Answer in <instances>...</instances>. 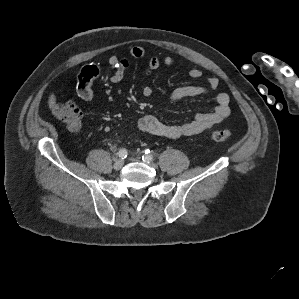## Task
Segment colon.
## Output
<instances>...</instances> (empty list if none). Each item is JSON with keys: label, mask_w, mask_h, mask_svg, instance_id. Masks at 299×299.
Returning <instances> with one entry per match:
<instances>
[{"label": "colon", "mask_w": 299, "mask_h": 299, "mask_svg": "<svg viewBox=\"0 0 299 299\" xmlns=\"http://www.w3.org/2000/svg\"><path fill=\"white\" fill-rule=\"evenodd\" d=\"M53 113L71 132L77 133L80 130L83 113L75 103L66 102L57 104L53 108ZM231 136V131L227 129H215L210 134V138L216 142L226 141L230 139Z\"/></svg>", "instance_id": "obj_1"}]
</instances>
